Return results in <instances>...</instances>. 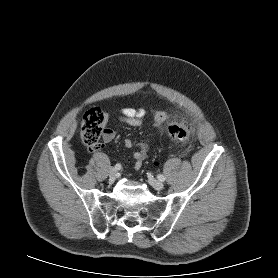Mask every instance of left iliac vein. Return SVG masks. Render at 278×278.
Instances as JSON below:
<instances>
[{
    "label": "left iliac vein",
    "instance_id": "left-iliac-vein-1",
    "mask_svg": "<svg viewBox=\"0 0 278 278\" xmlns=\"http://www.w3.org/2000/svg\"><path fill=\"white\" fill-rule=\"evenodd\" d=\"M149 183L156 190H162L164 187V184L157 179L150 178Z\"/></svg>",
    "mask_w": 278,
    "mask_h": 278
}]
</instances>
